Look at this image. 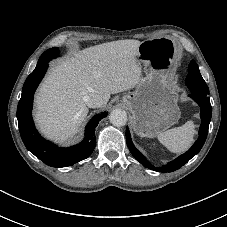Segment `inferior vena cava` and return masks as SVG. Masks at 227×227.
Listing matches in <instances>:
<instances>
[{
    "label": "inferior vena cava",
    "instance_id": "obj_1",
    "mask_svg": "<svg viewBox=\"0 0 227 227\" xmlns=\"http://www.w3.org/2000/svg\"><path fill=\"white\" fill-rule=\"evenodd\" d=\"M86 103L90 108H99L104 104V100L99 95H92L88 97Z\"/></svg>",
    "mask_w": 227,
    "mask_h": 227
}]
</instances>
